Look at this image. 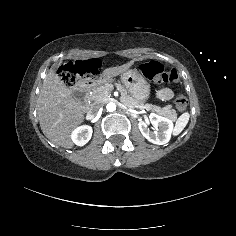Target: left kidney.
Instances as JSON below:
<instances>
[{"mask_svg":"<svg viewBox=\"0 0 236 236\" xmlns=\"http://www.w3.org/2000/svg\"><path fill=\"white\" fill-rule=\"evenodd\" d=\"M148 124L154 127V131L148 128ZM138 128L143 137L149 142L155 145H163L170 139L173 123L167 118L152 113L149 115V121L144 119L138 122Z\"/></svg>","mask_w":236,"mask_h":236,"instance_id":"obj_1","label":"left kidney"}]
</instances>
